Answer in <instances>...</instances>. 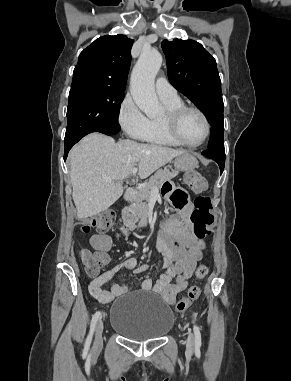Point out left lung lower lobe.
<instances>
[{
    "label": "left lung lower lobe",
    "instance_id": "1",
    "mask_svg": "<svg viewBox=\"0 0 291 381\" xmlns=\"http://www.w3.org/2000/svg\"><path fill=\"white\" fill-rule=\"evenodd\" d=\"M202 155L216 161L220 167V172L222 174L224 170V163H225V150H208L207 149L202 152Z\"/></svg>",
    "mask_w": 291,
    "mask_h": 381
}]
</instances>
